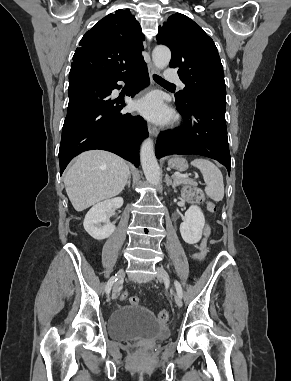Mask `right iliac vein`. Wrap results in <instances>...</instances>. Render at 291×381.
<instances>
[{
	"mask_svg": "<svg viewBox=\"0 0 291 381\" xmlns=\"http://www.w3.org/2000/svg\"><path fill=\"white\" fill-rule=\"evenodd\" d=\"M124 275H125V272L123 269L118 271V274H117L118 282L113 287V292H112L113 296H116L119 293V290H120L119 282L123 280Z\"/></svg>",
	"mask_w": 291,
	"mask_h": 381,
	"instance_id": "right-iliac-vein-1",
	"label": "right iliac vein"
}]
</instances>
